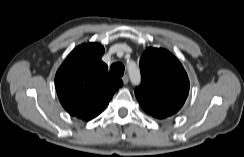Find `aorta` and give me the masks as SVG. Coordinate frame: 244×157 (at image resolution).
Listing matches in <instances>:
<instances>
[{"label": "aorta", "instance_id": "aorta-1", "mask_svg": "<svg viewBox=\"0 0 244 157\" xmlns=\"http://www.w3.org/2000/svg\"><path fill=\"white\" fill-rule=\"evenodd\" d=\"M131 82L135 85L140 83V73L136 68H129Z\"/></svg>", "mask_w": 244, "mask_h": 157}]
</instances>
